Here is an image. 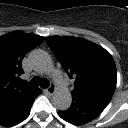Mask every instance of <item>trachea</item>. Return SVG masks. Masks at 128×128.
I'll list each match as a JSON object with an SVG mask.
<instances>
[{"label":"trachea","instance_id":"obj_1","mask_svg":"<svg viewBox=\"0 0 128 128\" xmlns=\"http://www.w3.org/2000/svg\"><path fill=\"white\" fill-rule=\"evenodd\" d=\"M32 86H40L41 88H48L50 86V82L45 78H40L39 76H34L30 81Z\"/></svg>","mask_w":128,"mask_h":128}]
</instances>
